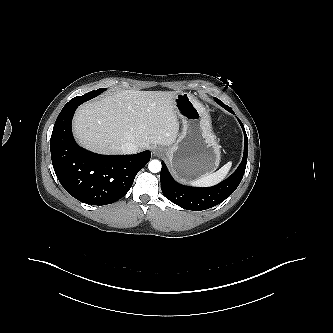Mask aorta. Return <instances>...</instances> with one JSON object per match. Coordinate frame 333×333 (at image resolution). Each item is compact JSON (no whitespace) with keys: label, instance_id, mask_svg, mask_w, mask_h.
I'll return each mask as SVG.
<instances>
[{"label":"aorta","instance_id":"aorta-1","mask_svg":"<svg viewBox=\"0 0 333 333\" xmlns=\"http://www.w3.org/2000/svg\"><path fill=\"white\" fill-rule=\"evenodd\" d=\"M148 169L152 173H158L161 170V162L159 160H151L148 164Z\"/></svg>","mask_w":333,"mask_h":333}]
</instances>
